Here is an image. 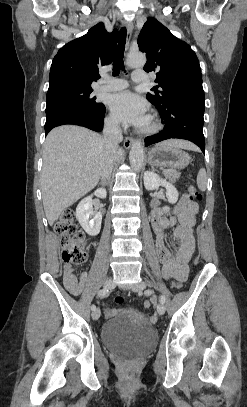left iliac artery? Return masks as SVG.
<instances>
[{
  "label": "left iliac artery",
  "instance_id": "obj_1",
  "mask_svg": "<svg viewBox=\"0 0 247 407\" xmlns=\"http://www.w3.org/2000/svg\"><path fill=\"white\" fill-rule=\"evenodd\" d=\"M152 293V290H146L145 291V294L146 295H150ZM165 300H166V298H165V296H161V298H160V302L162 303V304H164L165 303Z\"/></svg>",
  "mask_w": 247,
  "mask_h": 407
}]
</instances>
